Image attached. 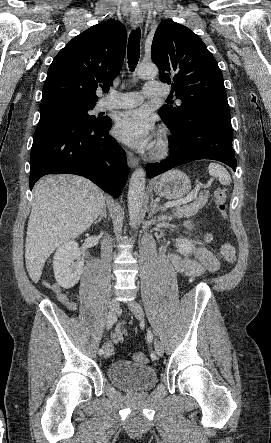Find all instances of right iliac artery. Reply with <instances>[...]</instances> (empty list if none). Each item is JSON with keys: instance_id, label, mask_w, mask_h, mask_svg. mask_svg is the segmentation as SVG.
Masks as SVG:
<instances>
[{"instance_id": "obj_1", "label": "right iliac artery", "mask_w": 271, "mask_h": 443, "mask_svg": "<svg viewBox=\"0 0 271 443\" xmlns=\"http://www.w3.org/2000/svg\"><path fill=\"white\" fill-rule=\"evenodd\" d=\"M115 321H116V316H115V314L112 313V312H110L109 315H108V317H107L106 328H107L108 330H109L110 328H112V326L114 325ZM98 353H99V355L104 354V349H103V348L99 349Z\"/></svg>"}]
</instances>
